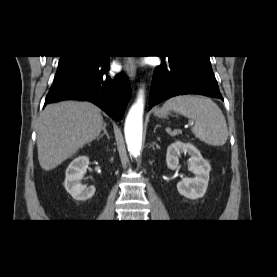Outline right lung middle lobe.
<instances>
[{"label":"right lung middle lobe","mask_w":277,"mask_h":277,"mask_svg":"<svg viewBox=\"0 0 277 277\" xmlns=\"http://www.w3.org/2000/svg\"><path fill=\"white\" fill-rule=\"evenodd\" d=\"M98 56H61L54 82L63 80L77 71L93 64Z\"/></svg>","instance_id":"right-lung-middle-lobe-1"}]
</instances>
